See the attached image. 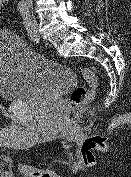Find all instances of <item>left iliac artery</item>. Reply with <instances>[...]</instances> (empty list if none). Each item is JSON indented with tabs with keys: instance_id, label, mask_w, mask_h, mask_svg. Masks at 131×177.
Masks as SVG:
<instances>
[{
	"instance_id": "obj_1",
	"label": "left iliac artery",
	"mask_w": 131,
	"mask_h": 177,
	"mask_svg": "<svg viewBox=\"0 0 131 177\" xmlns=\"http://www.w3.org/2000/svg\"><path fill=\"white\" fill-rule=\"evenodd\" d=\"M22 19H23V24L27 30L28 36L30 37L31 40L36 41V31L33 27L31 16L28 10L22 12Z\"/></svg>"
}]
</instances>
